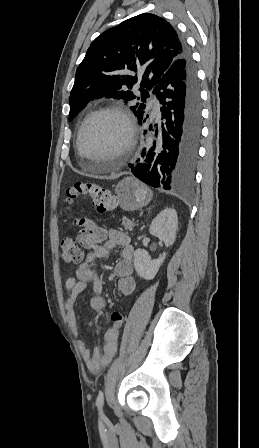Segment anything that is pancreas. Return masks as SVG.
<instances>
[{
	"label": "pancreas",
	"instance_id": "pancreas-1",
	"mask_svg": "<svg viewBox=\"0 0 259 448\" xmlns=\"http://www.w3.org/2000/svg\"><path fill=\"white\" fill-rule=\"evenodd\" d=\"M122 226H124L125 230H133L137 224H134V220H128V218H122Z\"/></svg>",
	"mask_w": 259,
	"mask_h": 448
}]
</instances>
